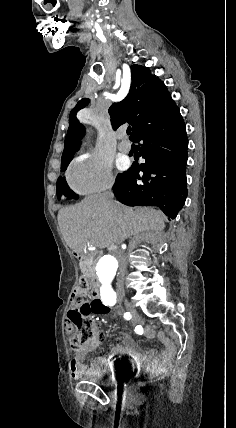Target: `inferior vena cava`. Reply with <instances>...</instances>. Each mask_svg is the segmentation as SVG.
<instances>
[{
    "instance_id": "obj_1",
    "label": "inferior vena cava",
    "mask_w": 236,
    "mask_h": 428,
    "mask_svg": "<svg viewBox=\"0 0 236 428\" xmlns=\"http://www.w3.org/2000/svg\"><path fill=\"white\" fill-rule=\"evenodd\" d=\"M105 198H107L108 202H112L111 198H114V194H112V192H107ZM109 246L111 248V251H109V254H113L114 257L117 258V262H118V266H119V278H118V282H116V287H117V296L118 297H123L124 296V286H125V281H124V274H125V269L127 267L126 264V260L125 257H123L124 254V250L123 249H118V241L120 240V237L117 234H114L111 237Z\"/></svg>"
}]
</instances>
